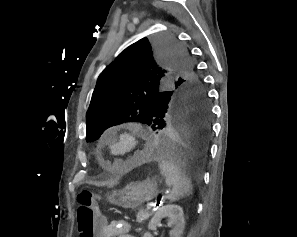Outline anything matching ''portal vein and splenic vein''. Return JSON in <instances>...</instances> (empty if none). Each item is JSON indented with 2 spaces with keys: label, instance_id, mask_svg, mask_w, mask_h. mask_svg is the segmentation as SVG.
Wrapping results in <instances>:
<instances>
[{
  "label": "portal vein and splenic vein",
  "instance_id": "18ae733b",
  "mask_svg": "<svg viewBox=\"0 0 297 237\" xmlns=\"http://www.w3.org/2000/svg\"><path fill=\"white\" fill-rule=\"evenodd\" d=\"M152 207H153L152 203H148V204H147V210H151Z\"/></svg>",
  "mask_w": 297,
  "mask_h": 237
}]
</instances>
